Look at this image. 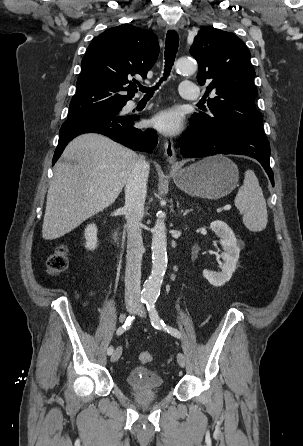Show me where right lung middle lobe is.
Returning a JSON list of instances; mask_svg holds the SVG:
<instances>
[{"label": "right lung middle lobe", "mask_w": 303, "mask_h": 446, "mask_svg": "<svg viewBox=\"0 0 303 446\" xmlns=\"http://www.w3.org/2000/svg\"><path fill=\"white\" fill-rule=\"evenodd\" d=\"M124 105L125 104L100 107V108L95 109L94 111H103V112H109V113H119V111L121 110V108ZM90 112H92V111H90ZM83 113H87V112H85V110L83 108H81L80 106H71L70 105L68 117L76 116V115L83 114Z\"/></svg>", "instance_id": "1"}]
</instances>
